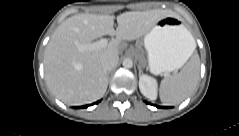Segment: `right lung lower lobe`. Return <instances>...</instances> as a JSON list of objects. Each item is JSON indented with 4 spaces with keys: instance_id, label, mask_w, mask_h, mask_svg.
Masks as SVG:
<instances>
[{
    "instance_id": "1",
    "label": "right lung lower lobe",
    "mask_w": 239,
    "mask_h": 136,
    "mask_svg": "<svg viewBox=\"0 0 239 136\" xmlns=\"http://www.w3.org/2000/svg\"><path fill=\"white\" fill-rule=\"evenodd\" d=\"M88 106H81V107H78V108H87Z\"/></svg>"
}]
</instances>
